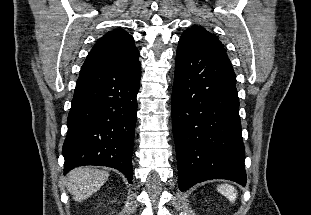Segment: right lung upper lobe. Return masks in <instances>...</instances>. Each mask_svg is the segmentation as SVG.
I'll list each match as a JSON object with an SVG mask.
<instances>
[{
  "label": "right lung upper lobe",
  "instance_id": "obj_1",
  "mask_svg": "<svg viewBox=\"0 0 311 215\" xmlns=\"http://www.w3.org/2000/svg\"><path fill=\"white\" fill-rule=\"evenodd\" d=\"M138 56L133 37L115 29L96 42L82 67L129 68L139 62Z\"/></svg>",
  "mask_w": 311,
  "mask_h": 215
}]
</instances>
